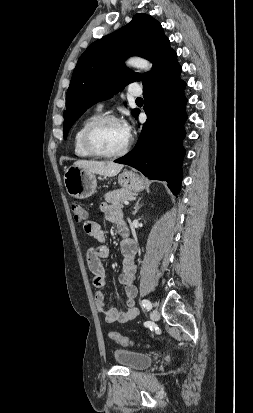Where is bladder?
Returning <instances> with one entry per match:
<instances>
[{
    "label": "bladder",
    "mask_w": 253,
    "mask_h": 413,
    "mask_svg": "<svg viewBox=\"0 0 253 413\" xmlns=\"http://www.w3.org/2000/svg\"><path fill=\"white\" fill-rule=\"evenodd\" d=\"M113 358L118 364L131 370H143L154 361L153 357L148 353L121 348L113 351Z\"/></svg>",
    "instance_id": "31cf9c89"
}]
</instances>
